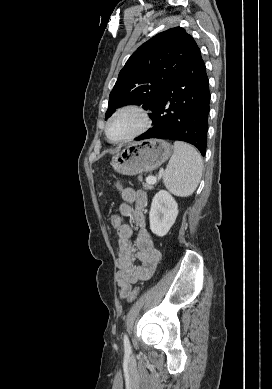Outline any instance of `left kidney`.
Instances as JSON below:
<instances>
[{
  "mask_svg": "<svg viewBox=\"0 0 272 389\" xmlns=\"http://www.w3.org/2000/svg\"><path fill=\"white\" fill-rule=\"evenodd\" d=\"M178 204L166 190L155 194L149 213L150 229L157 236H165L175 223Z\"/></svg>",
  "mask_w": 272,
  "mask_h": 389,
  "instance_id": "left-kidney-1",
  "label": "left kidney"
}]
</instances>
